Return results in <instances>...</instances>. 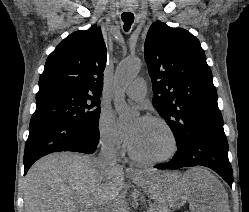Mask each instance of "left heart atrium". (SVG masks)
Returning a JSON list of instances; mask_svg holds the SVG:
<instances>
[{"label":"left heart atrium","instance_id":"left-heart-atrium-1","mask_svg":"<svg viewBox=\"0 0 249 212\" xmlns=\"http://www.w3.org/2000/svg\"><path fill=\"white\" fill-rule=\"evenodd\" d=\"M127 142L129 147L132 149L137 141V131L135 129H131L126 134Z\"/></svg>","mask_w":249,"mask_h":212}]
</instances>
